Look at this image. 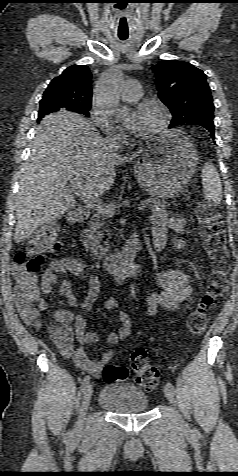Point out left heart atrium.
Returning a JSON list of instances; mask_svg holds the SVG:
<instances>
[{
  "label": "left heart atrium",
  "instance_id": "39dd6f15",
  "mask_svg": "<svg viewBox=\"0 0 238 476\" xmlns=\"http://www.w3.org/2000/svg\"><path fill=\"white\" fill-rule=\"evenodd\" d=\"M140 121L141 113L139 111H135L124 120V125L129 131L136 133L140 125Z\"/></svg>",
  "mask_w": 238,
  "mask_h": 476
}]
</instances>
